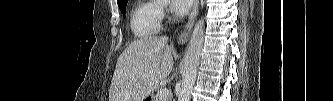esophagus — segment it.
Returning <instances> with one entry per match:
<instances>
[{"instance_id":"1","label":"esophagus","mask_w":333,"mask_h":101,"mask_svg":"<svg viewBox=\"0 0 333 101\" xmlns=\"http://www.w3.org/2000/svg\"><path fill=\"white\" fill-rule=\"evenodd\" d=\"M198 8H199V0H195L193 9H192L191 14L188 18V22H187L185 28L183 29V31L180 33V35L178 37V43L184 44V43L187 42V40L189 38V35L191 33L192 27L194 25L196 16L198 14Z\"/></svg>"}]
</instances>
